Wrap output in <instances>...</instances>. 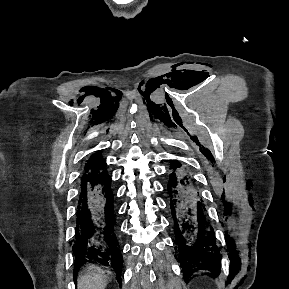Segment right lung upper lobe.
Here are the masks:
<instances>
[{"label":"right lung upper lobe","mask_w":289,"mask_h":289,"mask_svg":"<svg viewBox=\"0 0 289 289\" xmlns=\"http://www.w3.org/2000/svg\"><path fill=\"white\" fill-rule=\"evenodd\" d=\"M105 167L106 163L102 156L100 154H93L85 164V171L82 179L98 174L99 172L103 171Z\"/></svg>","instance_id":"1"}]
</instances>
